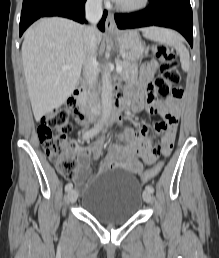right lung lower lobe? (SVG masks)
Masks as SVG:
<instances>
[{"label": "right lung lower lobe", "mask_w": 219, "mask_h": 258, "mask_svg": "<svg viewBox=\"0 0 219 258\" xmlns=\"http://www.w3.org/2000/svg\"><path fill=\"white\" fill-rule=\"evenodd\" d=\"M86 0H23L20 36L35 20L45 16H61L85 23L84 4ZM107 11L98 24L101 31L105 30Z\"/></svg>", "instance_id": "98d812e1"}]
</instances>
